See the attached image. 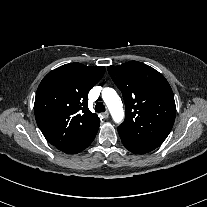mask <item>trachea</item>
I'll return each instance as SVG.
<instances>
[{
	"instance_id": "1",
	"label": "trachea",
	"mask_w": 207,
	"mask_h": 207,
	"mask_svg": "<svg viewBox=\"0 0 207 207\" xmlns=\"http://www.w3.org/2000/svg\"><path fill=\"white\" fill-rule=\"evenodd\" d=\"M106 108L102 102H98L95 106L96 112H105Z\"/></svg>"
}]
</instances>
